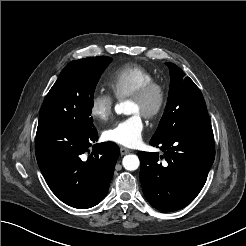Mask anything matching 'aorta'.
I'll use <instances>...</instances> for the list:
<instances>
[{
  "label": "aorta",
  "instance_id": "1",
  "mask_svg": "<svg viewBox=\"0 0 246 246\" xmlns=\"http://www.w3.org/2000/svg\"><path fill=\"white\" fill-rule=\"evenodd\" d=\"M134 111V104L131 101H122L115 105V112L117 114L130 115ZM123 167L128 171H134L138 169L140 161L138 156L134 154H129L124 156L122 160Z\"/></svg>",
  "mask_w": 246,
  "mask_h": 246
}]
</instances>
